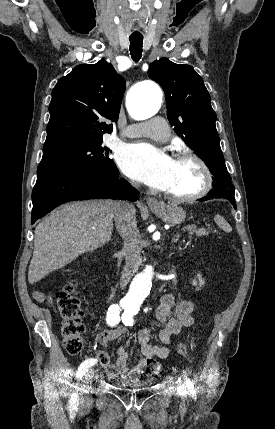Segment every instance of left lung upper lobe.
<instances>
[{"mask_svg": "<svg viewBox=\"0 0 275 429\" xmlns=\"http://www.w3.org/2000/svg\"><path fill=\"white\" fill-rule=\"evenodd\" d=\"M148 75L164 89L168 120L175 133L209 167L213 187L234 190L220 148L216 113L202 78L192 66L175 64L167 58L151 63Z\"/></svg>", "mask_w": 275, "mask_h": 429, "instance_id": "left-lung-upper-lobe-1", "label": "left lung upper lobe"}]
</instances>
